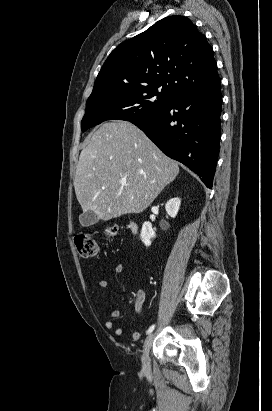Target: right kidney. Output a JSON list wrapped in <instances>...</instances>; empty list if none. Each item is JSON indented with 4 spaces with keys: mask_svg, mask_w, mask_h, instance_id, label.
<instances>
[{
    "mask_svg": "<svg viewBox=\"0 0 272 411\" xmlns=\"http://www.w3.org/2000/svg\"><path fill=\"white\" fill-rule=\"evenodd\" d=\"M181 200L179 198H172L167 201L165 204V209L167 214L175 218L179 211ZM154 237V232L152 229V224L150 222H144L141 229L140 238L141 241L145 244V246L151 245V239Z\"/></svg>",
    "mask_w": 272,
    "mask_h": 411,
    "instance_id": "right-kidney-1",
    "label": "right kidney"
}]
</instances>
